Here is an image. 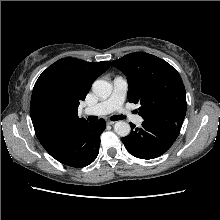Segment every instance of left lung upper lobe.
Instances as JSON below:
<instances>
[{"label":"left lung upper lobe","instance_id":"left-lung-upper-lobe-1","mask_svg":"<svg viewBox=\"0 0 220 220\" xmlns=\"http://www.w3.org/2000/svg\"><path fill=\"white\" fill-rule=\"evenodd\" d=\"M112 65L127 76L128 100L140 104L138 110L143 119L184 120L185 87L179 73L169 63L154 55L136 52L114 60Z\"/></svg>","mask_w":220,"mask_h":220}]
</instances>
